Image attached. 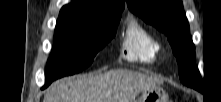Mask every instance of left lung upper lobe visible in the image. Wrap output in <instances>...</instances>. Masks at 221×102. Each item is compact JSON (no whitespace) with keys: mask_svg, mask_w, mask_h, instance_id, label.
Instances as JSON below:
<instances>
[{"mask_svg":"<svg viewBox=\"0 0 221 102\" xmlns=\"http://www.w3.org/2000/svg\"><path fill=\"white\" fill-rule=\"evenodd\" d=\"M128 8L145 22L165 33L177 58L180 80L202 91L203 83L195 64V48L181 0H127Z\"/></svg>","mask_w":221,"mask_h":102,"instance_id":"5c2ea615","label":"left lung upper lobe"}]
</instances>
